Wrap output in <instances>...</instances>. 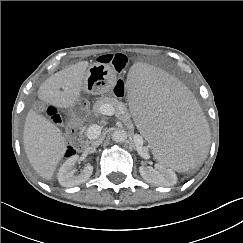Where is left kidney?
<instances>
[{"instance_id": "1", "label": "left kidney", "mask_w": 243, "mask_h": 243, "mask_svg": "<svg viewBox=\"0 0 243 243\" xmlns=\"http://www.w3.org/2000/svg\"><path fill=\"white\" fill-rule=\"evenodd\" d=\"M139 172L143 179L156 186L170 187L177 183V176L166 164H155V168L140 166Z\"/></svg>"}]
</instances>
